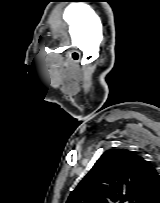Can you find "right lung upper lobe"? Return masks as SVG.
<instances>
[{"mask_svg": "<svg viewBox=\"0 0 160 203\" xmlns=\"http://www.w3.org/2000/svg\"><path fill=\"white\" fill-rule=\"evenodd\" d=\"M160 195V175L125 149L103 153L66 203H150Z\"/></svg>", "mask_w": 160, "mask_h": 203, "instance_id": "cb5924a9", "label": "right lung upper lobe"}]
</instances>
